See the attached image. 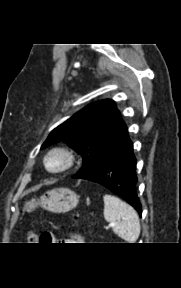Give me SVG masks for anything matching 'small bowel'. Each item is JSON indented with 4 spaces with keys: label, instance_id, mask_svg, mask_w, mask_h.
Segmentation results:
<instances>
[{
    "label": "small bowel",
    "instance_id": "small-bowel-1",
    "mask_svg": "<svg viewBox=\"0 0 181 288\" xmlns=\"http://www.w3.org/2000/svg\"><path fill=\"white\" fill-rule=\"evenodd\" d=\"M49 242H64V243H83L85 238L79 234H74L70 236L59 237L52 233H48Z\"/></svg>",
    "mask_w": 181,
    "mask_h": 288
}]
</instances>
